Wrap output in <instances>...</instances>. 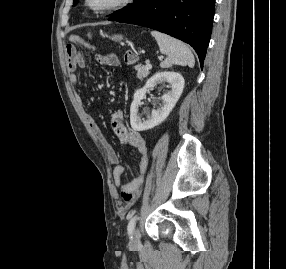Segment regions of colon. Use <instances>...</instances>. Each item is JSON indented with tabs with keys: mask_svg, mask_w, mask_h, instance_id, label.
Segmentation results:
<instances>
[{
	"mask_svg": "<svg viewBox=\"0 0 286 269\" xmlns=\"http://www.w3.org/2000/svg\"><path fill=\"white\" fill-rule=\"evenodd\" d=\"M125 53L126 54L123 55V66H134V62H138V59L140 58L139 49H126ZM122 196L127 202H129L132 197L129 191H123Z\"/></svg>",
	"mask_w": 286,
	"mask_h": 269,
	"instance_id": "1",
	"label": "colon"
}]
</instances>
